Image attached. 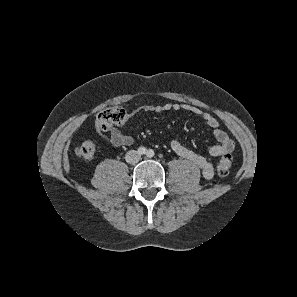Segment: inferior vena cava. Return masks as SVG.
Returning <instances> with one entry per match:
<instances>
[{
    "mask_svg": "<svg viewBox=\"0 0 297 297\" xmlns=\"http://www.w3.org/2000/svg\"><path fill=\"white\" fill-rule=\"evenodd\" d=\"M140 158H141V155L136 150H130L125 155L126 162L130 164H135L139 162Z\"/></svg>",
    "mask_w": 297,
    "mask_h": 297,
    "instance_id": "obj_1",
    "label": "inferior vena cava"
}]
</instances>
